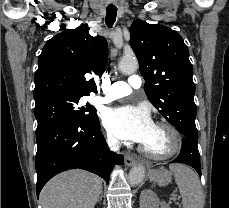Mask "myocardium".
<instances>
[{"label":"myocardium","instance_id":"1","mask_svg":"<svg viewBox=\"0 0 229 208\" xmlns=\"http://www.w3.org/2000/svg\"><path fill=\"white\" fill-rule=\"evenodd\" d=\"M157 127H164L168 130L165 131V134L168 135V146L169 147H175L172 151L166 153V154H156L148 150L143 144L141 145L142 152L150 159L152 160H168L176 155H178L184 145V139L182 136V133L178 128H176L173 124L167 122V121H157L154 124Z\"/></svg>","mask_w":229,"mask_h":208}]
</instances>
